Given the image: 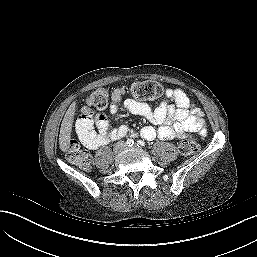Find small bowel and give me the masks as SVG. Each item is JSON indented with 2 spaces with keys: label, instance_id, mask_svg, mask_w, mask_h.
<instances>
[{
  "label": "small bowel",
  "instance_id": "c3829d8e",
  "mask_svg": "<svg viewBox=\"0 0 257 257\" xmlns=\"http://www.w3.org/2000/svg\"><path fill=\"white\" fill-rule=\"evenodd\" d=\"M123 95L124 90L121 88L112 92L111 114L116 115L123 104L130 113L158 125L157 129L152 126L141 129L140 135L146 140H153L156 137L162 140L182 139L188 133L197 132L202 136L206 133L201 111L180 89H167L165 99L156 108L135 99H126L122 103ZM76 132L87 148L97 149L126 136L129 128L127 125L111 127L105 116L92 114L85 109L76 122Z\"/></svg>",
  "mask_w": 257,
  "mask_h": 257
}]
</instances>
